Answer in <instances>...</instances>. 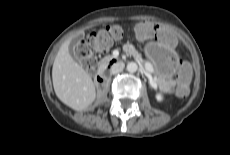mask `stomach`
<instances>
[{
    "label": "stomach",
    "mask_w": 230,
    "mask_h": 155,
    "mask_svg": "<svg viewBox=\"0 0 230 155\" xmlns=\"http://www.w3.org/2000/svg\"><path fill=\"white\" fill-rule=\"evenodd\" d=\"M145 55L153 63L158 83L163 87L168 78H172L177 68L178 57L173 48H164L159 42L145 46Z\"/></svg>",
    "instance_id": "0dacf381"
}]
</instances>
